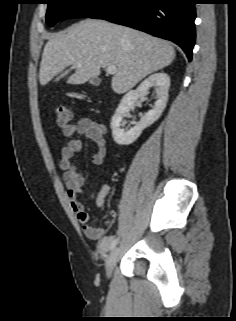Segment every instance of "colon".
Wrapping results in <instances>:
<instances>
[{
    "label": "colon",
    "instance_id": "obj_1",
    "mask_svg": "<svg viewBox=\"0 0 236 321\" xmlns=\"http://www.w3.org/2000/svg\"><path fill=\"white\" fill-rule=\"evenodd\" d=\"M56 115H57V124L61 127L70 123L72 119L71 112L66 107H63V106H60L56 109Z\"/></svg>",
    "mask_w": 236,
    "mask_h": 321
}]
</instances>
